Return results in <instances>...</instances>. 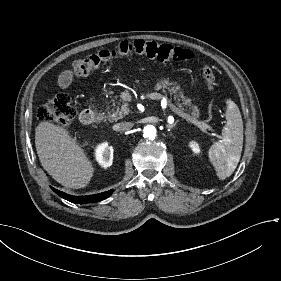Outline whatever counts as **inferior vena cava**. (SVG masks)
<instances>
[{"label": "inferior vena cava", "instance_id": "inferior-vena-cava-1", "mask_svg": "<svg viewBox=\"0 0 281 281\" xmlns=\"http://www.w3.org/2000/svg\"><path fill=\"white\" fill-rule=\"evenodd\" d=\"M130 129V125L126 124V123H120L119 124V130L120 131H126Z\"/></svg>", "mask_w": 281, "mask_h": 281}]
</instances>
